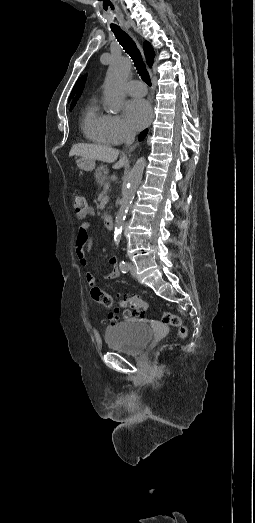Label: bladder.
<instances>
[{
	"mask_svg": "<svg viewBox=\"0 0 255 523\" xmlns=\"http://www.w3.org/2000/svg\"><path fill=\"white\" fill-rule=\"evenodd\" d=\"M152 335V330L140 321L122 323L105 329L107 347L126 353H141Z\"/></svg>",
	"mask_w": 255,
	"mask_h": 523,
	"instance_id": "1",
	"label": "bladder"
}]
</instances>
